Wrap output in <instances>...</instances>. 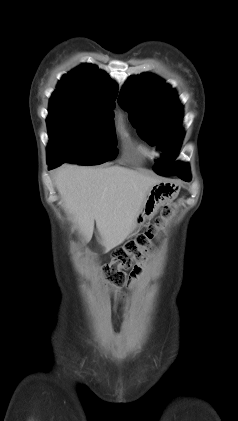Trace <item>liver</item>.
Instances as JSON below:
<instances>
[{"label": "liver", "instance_id": "obj_1", "mask_svg": "<svg viewBox=\"0 0 238 421\" xmlns=\"http://www.w3.org/2000/svg\"><path fill=\"white\" fill-rule=\"evenodd\" d=\"M54 181L84 241L91 239L96 222L106 251L120 245L134 230L148 190L160 182L122 166L72 164L59 168Z\"/></svg>", "mask_w": 238, "mask_h": 421}]
</instances>
